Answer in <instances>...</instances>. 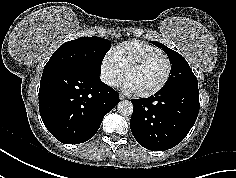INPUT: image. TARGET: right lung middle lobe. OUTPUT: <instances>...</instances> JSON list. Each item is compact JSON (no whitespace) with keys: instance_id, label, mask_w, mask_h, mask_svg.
<instances>
[{"instance_id":"right-lung-middle-lobe-1","label":"right lung middle lobe","mask_w":236,"mask_h":178,"mask_svg":"<svg viewBox=\"0 0 236 178\" xmlns=\"http://www.w3.org/2000/svg\"><path fill=\"white\" fill-rule=\"evenodd\" d=\"M110 47V41L96 36L68 41L53 53L44 70L66 67L100 75L101 63Z\"/></svg>"}]
</instances>
